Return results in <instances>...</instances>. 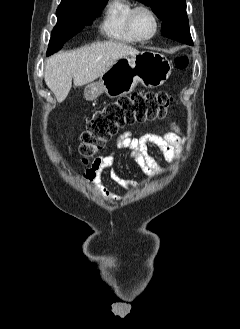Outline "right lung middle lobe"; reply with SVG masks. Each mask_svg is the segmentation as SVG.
<instances>
[{
  "instance_id": "obj_1",
  "label": "right lung middle lobe",
  "mask_w": 240,
  "mask_h": 329,
  "mask_svg": "<svg viewBox=\"0 0 240 329\" xmlns=\"http://www.w3.org/2000/svg\"><path fill=\"white\" fill-rule=\"evenodd\" d=\"M108 0H93L60 4L57 9V24L53 29L47 56L57 52L71 37L90 25L100 14Z\"/></svg>"
}]
</instances>
